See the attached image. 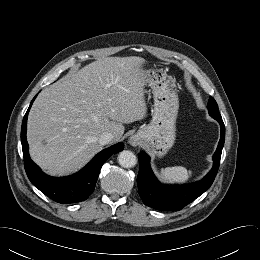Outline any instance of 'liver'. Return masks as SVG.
<instances>
[{
  "label": "liver",
  "instance_id": "obj_1",
  "mask_svg": "<svg viewBox=\"0 0 260 260\" xmlns=\"http://www.w3.org/2000/svg\"><path fill=\"white\" fill-rule=\"evenodd\" d=\"M140 57H106L46 87L28 116L30 156L50 175H67L85 166L109 132L117 142L123 124L145 117V79Z\"/></svg>",
  "mask_w": 260,
  "mask_h": 260
}]
</instances>
